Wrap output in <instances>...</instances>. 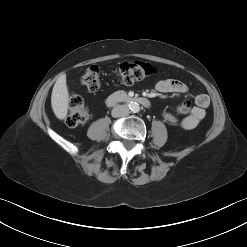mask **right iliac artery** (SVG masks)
<instances>
[{
    "mask_svg": "<svg viewBox=\"0 0 247 247\" xmlns=\"http://www.w3.org/2000/svg\"><path fill=\"white\" fill-rule=\"evenodd\" d=\"M129 107H131L132 105L130 103L127 104Z\"/></svg>",
    "mask_w": 247,
    "mask_h": 247,
    "instance_id": "82829eb1",
    "label": "right iliac artery"
}]
</instances>
